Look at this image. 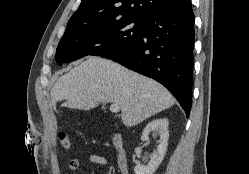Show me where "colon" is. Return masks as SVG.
Returning a JSON list of instances; mask_svg holds the SVG:
<instances>
[{
	"label": "colon",
	"mask_w": 249,
	"mask_h": 174,
	"mask_svg": "<svg viewBox=\"0 0 249 174\" xmlns=\"http://www.w3.org/2000/svg\"><path fill=\"white\" fill-rule=\"evenodd\" d=\"M59 140L62 148L65 151H73L74 150V141L71 136L65 132H61L59 134Z\"/></svg>",
	"instance_id": "obj_1"
}]
</instances>
